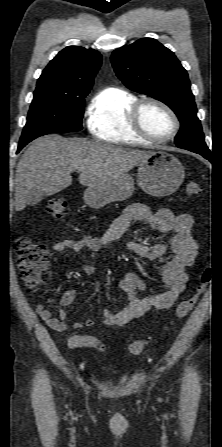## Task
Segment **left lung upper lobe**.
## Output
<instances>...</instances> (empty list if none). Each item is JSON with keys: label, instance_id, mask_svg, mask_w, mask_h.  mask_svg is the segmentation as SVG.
I'll return each mask as SVG.
<instances>
[{"label": "left lung upper lobe", "instance_id": "left-lung-upper-lobe-1", "mask_svg": "<svg viewBox=\"0 0 222 447\" xmlns=\"http://www.w3.org/2000/svg\"><path fill=\"white\" fill-rule=\"evenodd\" d=\"M111 61L125 86L162 101L175 112L181 123L175 137L179 148L210 152L197 118L187 71L172 51L155 39L142 38L116 49Z\"/></svg>", "mask_w": 222, "mask_h": 447}]
</instances>
